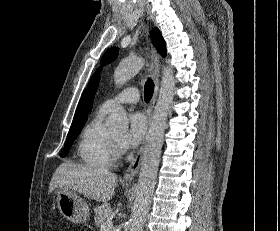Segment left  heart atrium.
<instances>
[{
	"label": "left heart atrium",
	"mask_w": 280,
	"mask_h": 231,
	"mask_svg": "<svg viewBox=\"0 0 280 231\" xmlns=\"http://www.w3.org/2000/svg\"><path fill=\"white\" fill-rule=\"evenodd\" d=\"M147 129L144 117L139 114H133L129 118L128 130L120 139V146L123 150H129L137 147L142 141Z\"/></svg>",
	"instance_id": "39dd6f15"
}]
</instances>
